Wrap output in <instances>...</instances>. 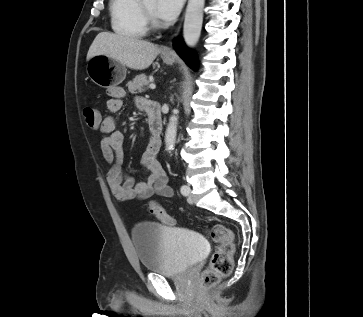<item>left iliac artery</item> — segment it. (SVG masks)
Listing matches in <instances>:
<instances>
[{"label":"left iliac artery","mask_w":363,"mask_h":317,"mask_svg":"<svg viewBox=\"0 0 363 317\" xmlns=\"http://www.w3.org/2000/svg\"><path fill=\"white\" fill-rule=\"evenodd\" d=\"M180 190L183 195H188V187L186 185H182Z\"/></svg>","instance_id":"44dca946"}]
</instances>
